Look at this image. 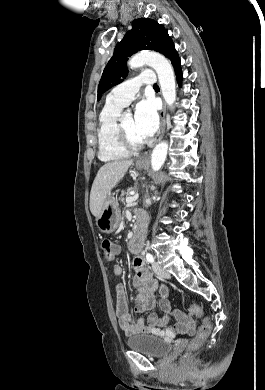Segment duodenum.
<instances>
[{
	"label": "duodenum",
	"mask_w": 265,
	"mask_h": 390,
	"mask_svg": "<svg viewBox=\"0 0 265 390\" xmlns=\"http://www.w3.org/2000/svg\"><path fill=\"white\" fill-rule=\"evenodd\" d=\"M146 218L142 214L137 215L133 235L128 240V248L131 251L138 252L141 250L145 237Z\"/></svg>",
	"instance_id": "obj_1"
}]
</instances>
